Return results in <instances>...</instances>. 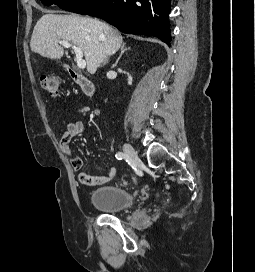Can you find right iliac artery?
<instances>
[{
    "label": "right iliac artery",
    "mask_w": 255,
    "mask_h": 272,
    "mask_svg": "<svg viewBox=\"0 0 255 272\" xmlns=\"http://www.w3.org/2000/svg\"><path fill=\"white\" fill-rule=\"evenodd\" d=\"M115 157H116L118 160H122V159L124 158V153L118 152V153H116Z\"/></svg>",
    "instance_id": "82829eb1"
}]
</instances>
